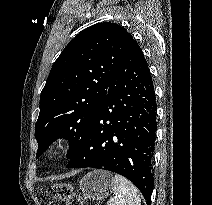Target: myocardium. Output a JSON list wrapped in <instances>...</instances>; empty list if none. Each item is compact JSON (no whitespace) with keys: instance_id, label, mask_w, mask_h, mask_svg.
<instances>
[{"instance_id":"f54148a6","label":"myocardium","mask_w":212,"mask_h":205,"mask_svg":"<svg viewBox=\"0 0 212 205\" xmlns=\"http://www.w3.org/2000/svg\"><path fill=\"white\" fill-rule=\"evenodd\" d=\"M62 151H63V145L61 142L57 141L50 146L48 154L51 158H56L62 153Z\"/></svg>"}]
</instances>
